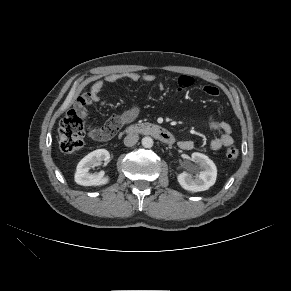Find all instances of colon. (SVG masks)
<instances>
[{"instance_id":"5ec220e1","label":"colon","mask_w":291,"mask_h":291,"mask_svg":"<svg viewBox=\"0 0 291 291\" xmlns=\"http://www.w3.org/2000/svg\"><path fill=\"white\" fill-rule=\"evenodd\" d=\"M91 103V97L84 94L78 98L76 108L67 112L62 119L59 127V145L64 153H74L81 149L84 142V137L87 131V120L83 113V108ZM121 124L119 119L113 117L106 123V129L112 136L114 135ZM226 158L233 161L238 158L239 150L234 145H231L226 150Z\"/></svg>"}]
</instances>
